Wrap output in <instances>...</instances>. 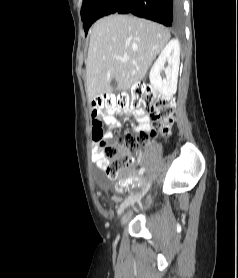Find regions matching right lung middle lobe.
<instances>
[{
	"mask_svg": "<svg viewBox=\"0 0 238 278\" xmlns=\"http://www.w3.org/2000/svg\"><path fill=\"white\" fill-rule=\"evenodd\" d=\"M99 0H83L82 8H81V19L84 22V30L85 34H87V28H86V15L88 11L98 2Z\"/></svg>",
	"mask_w": 238,
	"mask_h": 278,
	"instance_id": "dd1d6c3e",
	"label": "right lung middle lobe"
}]
</instances>
